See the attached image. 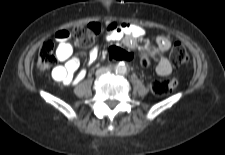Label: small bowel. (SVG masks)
Listing matches in <instances>:
<instances>
[{
	"label": "small bowel",
	"instance_id": "obj_1",
	"mask_svg": "<svg viewBox=\"0 0 225 155\" xmlns=\"http://www.w3.org/2000/svg\"><path fill=\"white\" fill-rule=\"evenodd\" d=\"M108 32V39L117 41L122 40L123 43L129 48H135L139 39L145 36V30L134 24L130 23H117L109 22L106 25ZM56 39L59 42L56 56L63 65L55 67L52 71L54 80L61 82L65 85L80 82L86 76L85 70H78L79 60L72 57V46L69 43L71 39V31L67 27H60L56 31ZM160 58L156 66V72L160 76H167L172 71V65L167 57V51L171 46V41L168 37L158 35L155 38ZM98 56L97 48L90 51V62H93Z\"/></svg>",
	"mask_w": 225,
	"mask_h": 155
}]
</instances>
